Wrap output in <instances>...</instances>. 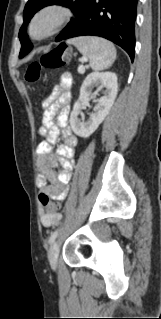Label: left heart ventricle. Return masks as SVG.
Instances as JSON below:
<instances>
[{"mask_svg":"<svg viewBox=\"0 0 161 319\" xmlns=\"http://www.w3.org/2000/svg\"><path fill=\"white\" fill-rule=\"evenodd\" d=\"M48 22H49V21L46 20V21H43V22H41V23H38V24L34 27V32H35L36 34L41 33V32L47 27Z\"/></svg>","mask_w":161,"mask_h":319,"instance_id":"1","label":"left heart ventricle"}]
</instances>
